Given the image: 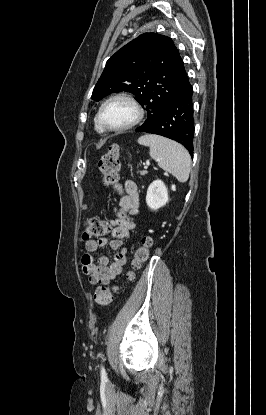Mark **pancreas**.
I'll return each mask as SVG.
<instances>
[{
	"instance_id": "cf45deb5",
	"label": "pancreas",
	"mask_w": 266,
	"mask_h": 415,
	"mask_svg": "<svg viewBox=\"0 0 266 415\" xmlns=\"http://www.w3.org/2000/svg\"><path fill=\"white\" fill-rule=\"evenodd\" d=\"M147 174V171H140V175L141 176H144V175H146Z\"/></svg>"
}]
</instances>
